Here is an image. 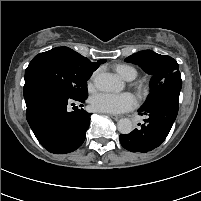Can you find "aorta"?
<instances>
[{"instance_id": "762f6f07", "label": "aorta", "mask_w": 201, "mask_h": 201, "mask_svg": "<svg viewBox=\"0 0 201 201\" xmlns=\"http://www.w3.org/2000/svg\"><path fill=\"white\" fill-rule=\"evenodd\" d=\"M94 85L103 92H119L123 89V83L113 74L106 72L95 76ZM117 128L121 134H129L133 130L132 121L128 118H122L118 121Z\"/></svg>"}]
</instances>
